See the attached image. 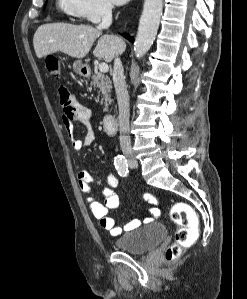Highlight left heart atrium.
Returning <instances> with one entry per match:
<instances>
[{
    "instance_id": "1",
    "label": "left heart atrium",
    "mask_w": 247,
    "mask_h": 299,
    "mask_svg": "<svg viewBox=\"0 0 247 299\" xmlns=\"http://www.w3.org/2000/svg\"><path fill=\"white\" fill-rule=\"evenodd\" d=\"M116 5H123L127 3L129 0H111Z\"/></svg>"
}]
</instances>
